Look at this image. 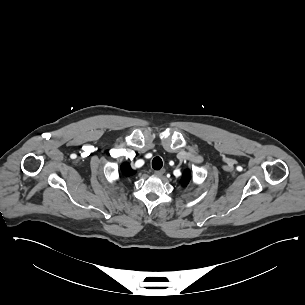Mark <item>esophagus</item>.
<instances>
[{"instance_id":"34e87169","label":"esophagus","mask_w":305,"mask_h":305,"mask_svg":"<svg viewBox=\"0 0 305 305\" xmlns=\"http://www.w3.org/2000/svg\"><path fill=\"white\" fill-rule=\"evenodd\" d=\"M166 172L165 169L157 170L154 172L155 175L157 176H162Z\"/></svg>"}]
</instances>
